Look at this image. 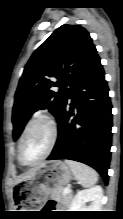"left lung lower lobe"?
Here are the masks:
<instances>
[{
  "label": "left lung lower lobe",
  "instance_id": "obj_1",
  "mask_svg": "<svg viewBox=\"0 0 123 219\" xmlns=\"http://www.w3.org/2000/svg\"><path fill=\"white\" fill-rule=\"evenodd\" d=\"M108 92L105 73L96 56L71 87L68 98L72 102L68 105L66 101L58 118V138L47 160L69 159L85 163L108 182L112 140V105ZM71 116L74 118L70 120Z\"/></svg>",
  "mask_w": 123,
  "mask_h": 219
}]
</instances>
